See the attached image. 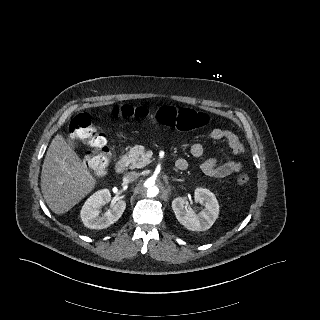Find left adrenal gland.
I'll return each instance as SVG.
<instances>
[{
  "label": "left adrenal gland",
  "instance_id": "a2214340",
  "mask_svg": "<svg viewBox=\"0 0 320 320\" xmlns=\"http://www.w3.org/2000/svg\"><path fill=\"white\" fill-rule=\"evenodd\" d=\"M173 181H180V182H181V181H183V180H181V179H173Z\"/></svg>",
  "mask_w": 320,
  "mask_h": 320
}]
</instances>
